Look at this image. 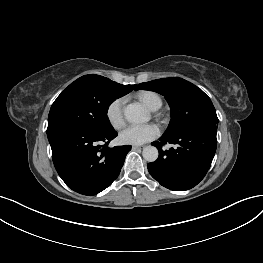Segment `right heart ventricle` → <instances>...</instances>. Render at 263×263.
<instances>
[{
    "label": "right heart ventricle",
    "instance_id": "e07e8e85",
    "mask_svg": "<svg viewBox=\"0 0 263 263\" xmlns=\"http://www.w3.org/2000/svg\"><path fill=\"white\" fill-rule=\"evenodd\" d=\"M136 97L153 111L158 110L162 106V99L156 92L143 90L138 92Z\"/></svg>",
    "mask_w": 263,
    "mask_h": 263
}]
</instances>
